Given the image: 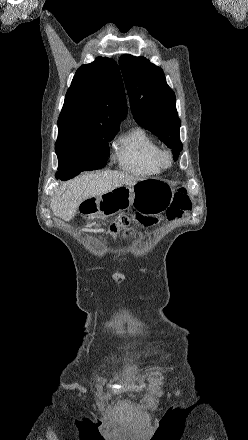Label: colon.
I'll return each instance as SVG.
<instances>
[{"label":"colon","mask_w":248,"mask_h":440,"mask_svg":"<svg viewBox=\"0 0 248 440\" xmlns=\"http://www.w3.org/2000/svg\"><path fill=\"white\" fill-rule=\"evenodd\" d=\"M192 207V201L184 188H178L173 196L171 205L166 210V216L169 219L181 217L184 213L189 211ZM135 219L144 225L151 224L155 221L154 218L147 217L138 212L135 214ZM130 224L129 217H122L114 224V232L117 229L127 228Z\"/></svg>","instance_id":"1"}]
</instances>
